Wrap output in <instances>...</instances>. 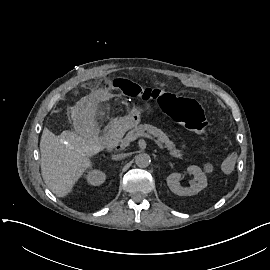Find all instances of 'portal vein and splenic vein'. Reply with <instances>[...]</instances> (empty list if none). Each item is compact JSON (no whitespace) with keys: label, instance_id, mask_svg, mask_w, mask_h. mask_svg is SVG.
Masks as SVG:
<instances>
[{"label":"portal vein and splenic vein","instance_id":"portal-vein-and-splenic-vein-1","mask_svg":"<svg viewBox=\"0 0 270 270\" xmlns=\"http://www.w3.org/2000/svg\"><path fill=\"white\" fill-rule=\"evenodd\" d=\"M142 135H143V137H146V138H148V139H151L153 142H156V145H157L161 150H164V146L161 145L160 142H157V139H156V138L151 137V136L148 135L147 133H143ZM139 139H142V136H139ZM134 140H137V137H134V138H133L132 136H129V137L127 138V141H128L129 143H132ZM164 151H165V150H164Z\"/></svg>","mask_w":270,"mask_h":270}]
</instances>
